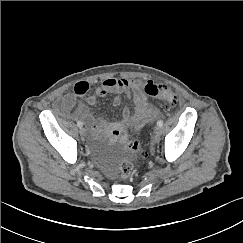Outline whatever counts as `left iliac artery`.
Here are the masks:
<instances>
[{
    "instance_id": "1",
    "label": "left iliac artery",
    "mask_w": 243,
    "mask_h": 243,
    "mask_svg": "<svg viewBox=\"0 0 243 243\" xmlns=\"http://www.w3.org/2000/svg\"><path fill=\"white\" fill-rule=\"evenodd\" d=\"M157 125H158L159 127H162V126H163V121H162V120H159V121L157 122Z\"/></svg>"
}]
</instances>
